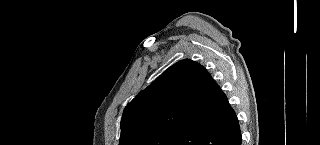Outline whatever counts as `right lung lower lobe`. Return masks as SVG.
<instances>
[{
    "label": "right lung lower lobe",
    "instance_id": "98d812e1",
    "mask_svg": "<svg viewBox=\"0 0 320 145\" xmlns=\"http://www.w3.org/2000/svg\"><path fill=\"white\" fill-rule=\"evenodd\" d=\"M220 105L213 116L182 129L167 145H241L238 119L225 94Z\"/></svg>",
    "mask_w": 320,
    "mask_h": 145
}]
</instances>
